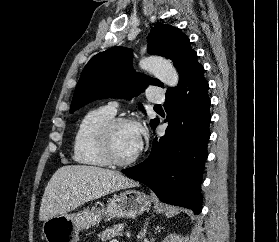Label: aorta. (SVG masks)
I'll use <instances>...</instances> for the list:
<instances>
[{
    "label": "aorta",
    "mask_w": 279,
    "mask_h": 242,
    "mask_svg": "<svg viewBox=\"0 0 279 242\" xmlns=\"http://www.w3.org/2000/svg\"><path fill=\"white\" fill-rule=\"evenodd\" d=\"M141 69L150 72L164 84L175 87L179 81V75L172 63L162 57L150 56L140 60Z\"/></svg>",
    "instance_id": "obj_1"
}]
</instances>
